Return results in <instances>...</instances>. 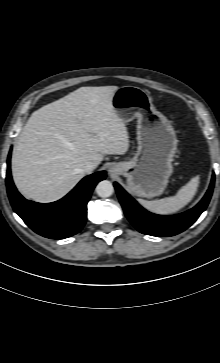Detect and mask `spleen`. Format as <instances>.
<instances>
[{
  "label": "spleen",
  "mask_w": 220,
  "mask_h": 363,
  "mask_svg": "<svg viewBox=\"0 0 220 363\" xmlns=\"http://www.w3.org/2000/svg\"><path fill=\"white\" fill-rule=\"evenodd\" d=\"M199 186V176L193 177L175 196L160 200L147 201L138 199L140 205L152 213L170 215L185 207L195 196Z\"/></svg>",
  "instance_id": "obj_1"
}]
</instances>
